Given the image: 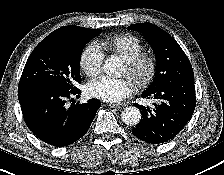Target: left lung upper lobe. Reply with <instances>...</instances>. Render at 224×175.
<instances>
[{
    "label": "left lung upper lobe",
    "mask_w": 224,
    "mask_h": 175,
    "mask_svg": "<svg viewBox=\"0 0 224 175\" xmlns=\"http://www.w3.org/2000/svg\"><path fill=\"white\" fill-rule=\"evenodd\" d=\"M129 28L144 35L156 56V75L153 83L145 91L178 79H194L187 56L171 35L148 22L133 24Z\"/></svg>",
    "instance_id": "obj_1"
}]
</instances>
